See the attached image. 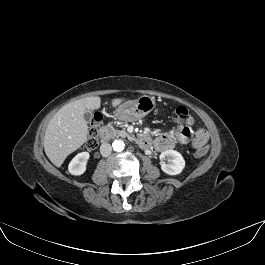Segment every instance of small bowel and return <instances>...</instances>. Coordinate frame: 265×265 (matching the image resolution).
<instances>
[{"instance_id": "obj_1", "label": "small bowel", "mask_w": 265, "mask_h": 265, "mask_svg": "<svg viewBox=\"0 0 265 265\" xmlns=\"http://www.w3.org/2000/svg\"><path fill=\"white\" fill-rule=\"evenodd\" d=\"M176 141L191 144L192 148L198 151L205 149L208 135L203 129H199L193 136L189 127L179 126L172 133H164L158 136L154 140V147L158 151H166L171 149Z\"/></svg>"}]
</instances>
